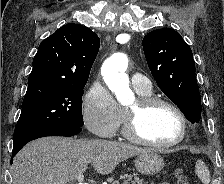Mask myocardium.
Wrapping results in <instances>:
<instances>
[{
  "label": "myocardium",
  "instance_id": "1",
  "mask_svg": "<svg viewBox=\"0 0 224 184\" xmlns=\"http://www.w3.org/2000/svg\"><path fill=\"white\" fill-rule=\"evenodd\" d=\"M164 105L169 107L178 116L181 124L179 136L171 142L159 144L148 140L140 132V123L142 118L154 107ZM124 136L141 145H145L157 150H166L180 144L188 134V120L183 111L171 100L158 96H140L135 103L125 110L124 118Z\"/></svg>",
  "mask_w": 224,
  "mask_h": 184
}]
</instances>
